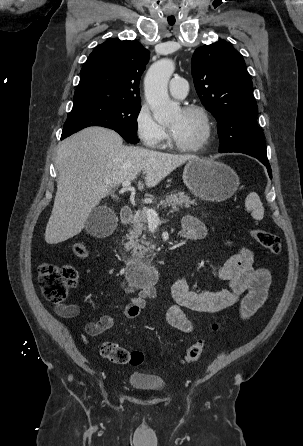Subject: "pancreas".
<instances>
[{"mask_svg":"<svg viewBox=\"0 0 303 446\" xmlns=\"http://www.w3.org/2000/svg\"><path fill=\"white\" fill-rule=\"evenodd\" d=\"M194 204H196L195 200H192L188 195H185L183 192H177L167 195L164 200L160 201L157 208L159 206L163 208L172 206L173 211H178L179 207L189 208L190 205ZM147 223L145 212H139L136 214L132 229L129 230V234L127 235V242L124 244V247L127 251H131V255L134 258L144 259L155 249L152 242L146 240L145 235L140 238L143 231L147 229Z\"/></svg>","mask_w":303,"mask_h":446,"instance_id":"1","label":"pancreas"}]
</instances>
